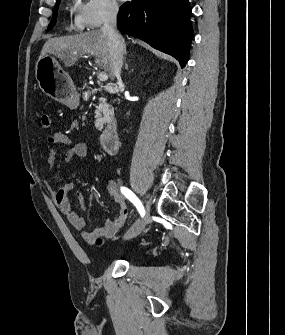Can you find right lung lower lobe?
Wrapping results in <instances>:
<instances>
[{"mask_svg": "<svg viewBox=\"0 0 285 335\" xmlns=\"http://www.w3.org/2000/svg\"><path fill=\"white\" fill-rule=\"evenodd\" d=\"M188 0H132L117 16L121 32L174 56L181 67L189 58L193 29Z\"/></svg>", "mask_w": 285, "mask_h": 335, "instance_id": "98d812e1", "label": "right lung lower lobe"}]
</instances>
